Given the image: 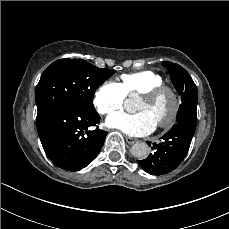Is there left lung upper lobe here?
<instances>
[{
    "label": "left lung upper lobe",
    "mask_w": 229,
    "mask_h": 229,
    "mask_svg": "<svg viewBox=\"0 0 229 229\" xmlns=\"http://www.w3.org/2000/svg\"><path fill=\"white\" fill-rule=\"evenodd\" d=\"M163 66L168 70L175 89L178 94L181 95L182 103L177 113L176 124H184L187 122L186 119L188 112H191V108L196 109L198 102L197 87L188 72L180 65L171 62H164ZM196 122L197 115L195 113V120L192 126L193 129L196 127Z\"/></svg>",
    "instance_id": "obj_1"
}]
</instances>
